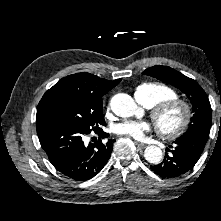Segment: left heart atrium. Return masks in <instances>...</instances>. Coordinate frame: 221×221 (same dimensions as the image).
Returning <instances> with one entry per match:
<instances>
[{
	"instance_id": "obj_1",
	"label": "left heart atrium",
	"mask_w": 221,
	"mask_h": 221,
	"mask_svg": "<svg viewBox=\"0 0 221 221\" xmlns=\"http://www.w3.org/2000/svg\"><path fill=\"white\" fill-rule=\"evenodd\" d=\"M151 130V125L145 121H123L114 126L117 135L127 136L136 140H142L147 132Z\"/></svg>"
}]
</instances>
